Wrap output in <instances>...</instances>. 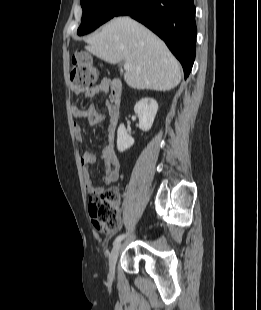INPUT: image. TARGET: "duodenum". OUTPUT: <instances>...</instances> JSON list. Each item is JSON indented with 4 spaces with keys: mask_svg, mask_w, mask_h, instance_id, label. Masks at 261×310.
<instances>
[{
    "mask_svg": "<svg viewBox=\"0 0 261 310\" xmlns=\"http://www.w3.org/2000/svg\"><path fill=\"white\" fill-rule=\"evenodd\" d=\"M110 88H111L112 98L115 101H118L120 99L121 90H122L121 82L118 79L111 80ZM110 119H111L112 124L116 126L117 121H118V110L116 107L112 108Z\"/></svg>",
    "mask_w": 261,
    "mask_h": 310,
    "instance_id": "410a0bca",
    "label": "duodenum"
}]
</instances>
